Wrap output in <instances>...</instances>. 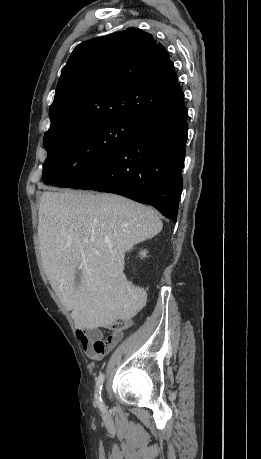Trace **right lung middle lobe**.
<instances>
[{
    "instance_id": "dd1d6c3e",
    "label": "right lung middle lobe",
    "mask_w": 261,
    "mask_h": 459,
    "mask_svg": "<svg viewBox=\"0 0 261 459\" xmlns=\"http://www.w3.org/2000/svg\"><path fill=\"white\" fill-rule=\"evenodd\" d=\"M139 126L132 120H114L78 133L45 134L43 180L58 187L74 185L115 156Z\"/></svg>"
}]
</instances>
